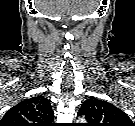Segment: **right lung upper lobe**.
I'll use <instances>...</instances> for the list:
<instances>
[{"label": "right lung upper lobe", "mask_w": 135, "mask_h": 126, "mask_svg": "<svg viewBox=\"0 0 135 126\" xmlns=\"http://www.w3.org/2000/svg\"><path fill=\"white\" fill-rule=\"evenodd\" d=\"M53 117L50 101L44 96H35L8 110L0 126H49Z\"/></svg>", "instance_id": "cb5924a9"}]
</instances>
